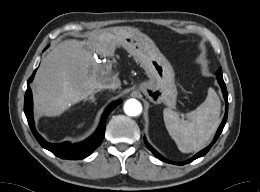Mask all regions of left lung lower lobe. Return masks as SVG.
Here are the masks:
<instances>
[{"label": "left lung lower lobe", "instance_id": "0a47b994", "mask_svg": "<svg viewBox=\"0 0 260 192\" xmlns=\"http://www.w3.org/2000/svg\"><path fill=\"white\" fill-rule=\"evenodd\" d=\"M217 79H218L219 85L221 86L224 99H225V101H226V109H225V115H224L223 121H222V123L220 124V126H219V128H218V130H217V133H216V135H215V137H214V140L212 141V143H211L208 147H206L205 149H203L202 151H200L199 153H197V154H196L194 157H192L191 159H189V160H187V161H185V162H181V163L172 162L173 164L184 165V164H187V163H189V162H191V161H193V160H195V159H197V158H199V157H202L203 155H205V154L210 150L211 146L216 142V140L218 139L219 135L221 134V132H222L224 126H225V122H226V120H227V115H228V98H227L226 85H225V83H224V81H223V78H217ZM144 142H145L147 148H148L149 150H151V152H152L156 157H158L160 160L165 161V162H167V163L170 162V161H168L167 159H165L164 157H162L154 148H152V147L148 144V142L146 141L145 138H144ZM170 163H171V162H170Z\"/></svg>", "mask_w": 260, "mask_h": 192}]
</instances>
